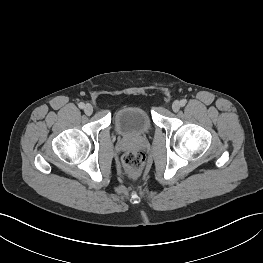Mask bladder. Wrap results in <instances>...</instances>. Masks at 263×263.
Returning a JSON list of instances; mask_svg holds the SVG:
<instances>
[{"mask_svg":"<svg viewBox=\"0 0 263 263\" xmlns=\"http://www.w3.org/2000/svg\"><path fill=\"white\" fill-rule=\"evenodd\" d=\"M114 128L127 138H145L153 129L152 120L146 111L137 105H127L114 114Z\"/></svg>","mask_w":263,"mask_h":263,"instance_id":"bladder-1","label":"bladder"}]
</instances>
